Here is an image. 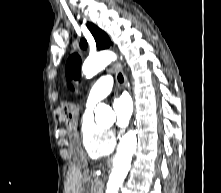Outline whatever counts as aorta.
<instances>
[{"instance_id":"aorta-1","label":"aorta","mask_w":221,"mask_h":193,"mask_svg":"<svg viewBox=\"0 0 221 193\" xmlns=\"http://www.w3.org/2000/svg\"><path fill=\"white\" fill-rule=\"evenodd\" d=\"M116 58V54L111 51H103L96 55L89 56L83 63L82 72L87 78L95 76L112 61H115ZM94 112L96 120H101L113 115L111 107L104 103H99L95 107ZM136 146V131L130 130L119 142L117 153L113 160V170L107 183L106 193H118L119 187L122 185L130 170L131 160L136 151Z\"/></svg>"}]
</instances>
